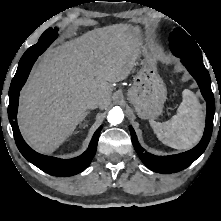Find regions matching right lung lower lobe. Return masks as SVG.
<instances>
[{
    "label": "right lung lower lobe",
    "instance_id": "right-lung-lower-lobe-1",
    "mask_svg": "<svg viewBox=\"0 0 221 221\" xmlns=\"http://www.w3.org/2000/svg\"><path fill=\"white\" fill-rule=\"evenodd\" d=\"M40 54L41 52L36 53L33 51L28 53L26 51L19 62L17 72L11 82L9 89L8 118L13 129L14 139L21 154L42 171L50 175L62 177L75 175L89 166L93 159L102 127L96 130L88 149L82 155L73 159L64 160L41 155L32 150L23 140L17 125L19 91L24 85L34 62Z\"/></svg>",
    "mask_w": 221,
    "mask_h": 221
}]
</instances>
